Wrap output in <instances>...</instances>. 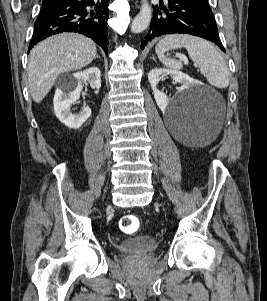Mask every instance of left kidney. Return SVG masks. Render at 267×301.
Instances as JSON below:
<instances>
[{
	"label": "left kidney",
	"instance_id": "obj_1",
	"mask_svg": "<svg viewBox=\"0 0 267 301\" xmlns=\"http://www.w3.org/2000/svg\"><path fill=\"white\" fill-rule=\"evenodd\" d=\"M167 76H170L175 82L183 84L181 88L182 91L189 90L191 87H193L198 83L197 80H194L188 75L177 70H170V69L151 70L148 73V81L153 90L155 101L161 111H165L172 101V99L168 98L165 93L157 89V85L159 81Z\"/></svg>",
	"mask_w": 267,
	"mask_h": 301
}]
</instances>
